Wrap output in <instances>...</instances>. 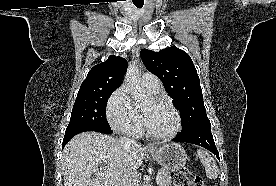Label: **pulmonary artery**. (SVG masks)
<instances>
[{
  "label": "pulmonary artery",
  "mask_w": 276,
  "mask_h": 186,
  "mask_svg": "<svg viewBox=\"0 0 276 186\" xmlns=\"http://www.w3.org/2000/svg\"><path fill=\"white\" fill-rule=\"evenodd\" d=\"M142 84L151 92H157L160 88V82L156 75L146 72L142 76Z\"/></svg>",
  "instance_id": "obj_1"
}]
</instances>
